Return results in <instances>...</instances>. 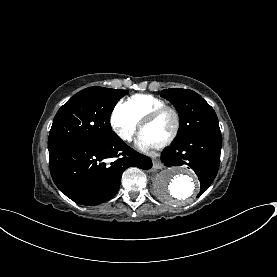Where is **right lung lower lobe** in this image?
Wrapping results in <instances>:
<instances>
[{"label": "right lung lower lobe", "mask_w": 277, "mask_h": 277, "mask_svg": "<svg viewBox=\"0 0 277 277\" xmlns=\"http://www.w3.org/2000/svg\"><path fill=\"white\" fill-rule=\"evenodd\" d=\"M49 164L56 186L82 205H97L115 196L128 167H152L149 157L128 147L117 135L51 150Z\"/></svg>", "instance_id": "right-lung-lower-lobe-1"}]
</instances>
